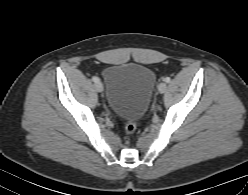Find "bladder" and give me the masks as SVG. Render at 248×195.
I'll return each mask as SVG.
<instances>
[{"label":"bladder","mask_w":248,"mask_h":195,"mask_svg":"<svg viewBox=\"0 0 248 195\" xmlns=\"http://www.w3.org/2000/svg\"><path fill=\"white\" fill-rule=\"evenodd\" d=\"M106 100L119 116L138 120L146 112L155 85L154 72L141 64L119 63L105 68Z\"/></svg>","instance_id":"1"}]
</instances>
